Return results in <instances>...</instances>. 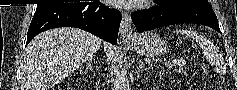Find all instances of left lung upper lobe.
Wrapping results in <instances>:
<instances>
[{
    "mask_svg": "<svg viewBox=\"0 0 237 90\" xmlns=\"http://www.w3.org/2000/svg\"><path fill=\"white\" fill-rule=\"evenodd\" d=\"M162 5L165 6H185L190 8L212 10L207 0H158Z\"/></svg>",
    "mask_w": 237,
    "mask_h": 90,
    "instance_id": "left-lung-upper-lobe-1",
    "label": "left lung upper lobe"
}]
</instances>
